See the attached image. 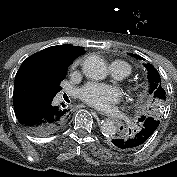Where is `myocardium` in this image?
I'll return each mask as SVG.
<instances>
[{
    "mask_svg": "<svg viewBox=\"0 0 177 177\" xmlns=\"http://www.w3.org/2000/svg\"><path fill=\"white\" fill-rule=\"evenodd\" d=\"M137 88H138V87L135 86V85H133V86H129V87H128V91L131 92V93H134V92L137 91Z\"/></svg>",
    "mask_w": 177,
    "mask_h": 177,
    "instance_id": "obj_1",
    "label": "myocardium"
}]
</instances>
